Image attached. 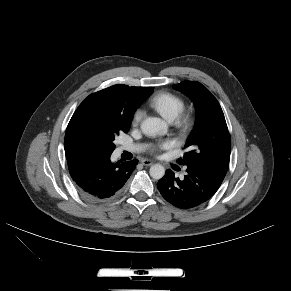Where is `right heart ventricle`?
<instances>
[{
    "instance_id": "e07e8e85",
    "label": "right heart ventricle",
    "mask_w": 291,
    "mask_h": 291,
    "mask_svg": "<svg viewBox=\"0 0 291 291\" xmlns=\"http://www.w3.org/2000/svg\"><path fill=\"white\" fill-rule=\"evenodd\" d=\"M150 106L168 121L176 120L183 112L185 104L178 95L162 91L149 100Z\"/></svg>"
}]
</instances>
